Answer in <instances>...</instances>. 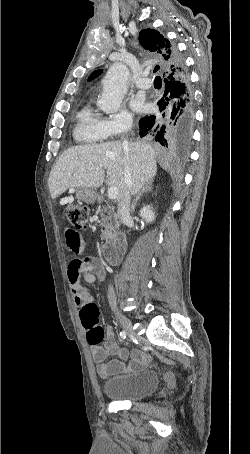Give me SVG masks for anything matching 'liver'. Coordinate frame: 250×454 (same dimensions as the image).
Returning a JSON list of instances; mask_svg holds the SVG:
<instances>
[{
    "instance_id": "6515ba94",
    "label": "liver",
    "mask_w": 250,
    "mask_h": 454,
    "mask_svg": "<svg viewBox=\"0 0 250 454\" xmlns=\"http://www.w3.org/2000/svg\"><path fill=\"white\" fill-rule=\"evenodd\" d=\"M125 153L120 141L81 145L67 149L53 166L48 186L53 199L69 188H97L105 181L124 193ZM128 165L132 177L131 195L138 194L157 172L155 151L148 143H128ZM106 171V179H105Z\"/></svg>"
}]
</instances>
